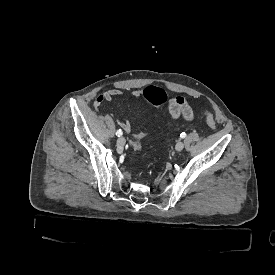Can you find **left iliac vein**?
<instances>
[{
	"instance_id": "1",
	"label": "left iliac vein",
	"mask_w": 275,
	"mask_h": 275,
	"mask_svg": "<svg viewBox=\"0 0 275 275\" xmlns=\"http://www.w3.org/2000/svg\"><path fill=\"white\" fill-rule=\"evenodd\" d=\"M183 148H184V143L181 142V141H179V142L176 144V146H175V149H176V151H178V152L182 151Z\"/></svg>"
}]
</instances>
